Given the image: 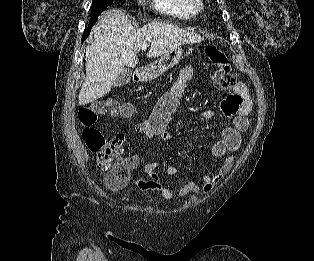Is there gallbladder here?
I'll return each instance as SVG.
<instances>
[{"label": "gallbladder", "mask_w": 314, "mask_h": 261, "mask_svg": "<svg viewBox=\"0 0 314 261\" xmlns=\"http://www.w3.org/2000/svg\"><path fill=\"white\" fill-rule=\"evenodd\" d=\"M132 77V71L129 68H124L121 73L118 75L114 85L116 87H122L125 86Z\"/></svg>", "instance_id": "1"}]
</instances>
